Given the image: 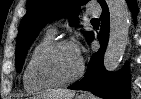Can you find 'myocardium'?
Instances as JSON below:
<instances>
[{
  "mask_svg": "<svg viewBox=\"0 0 141 99\" xmlns=\"http://www.w3.org/2000/svg\"><path fill=\"white\" fill-rule=\"evenodd\" d=\"M64 46H71L73 47V43L71 41L68 40H59V41H54L51 42L50 44H48L46 47H44L35 57L33 63H32V67H31V75L33 80L40 84V85H44L47 87H62V86H66L69 85L75 81H77L84 72V63L82 61V59H80V65H79V69L78 71L70 78L65 79V80H54L51 78H48L46 76H44L41 73V65L43 63V61L55 50L64 47Z\"/></svg>",
  "mask_w": 141,
  "mask_h": 99,
  "instance_id": "obj_1",
  "label": "myocardium"
}]
</instances>
